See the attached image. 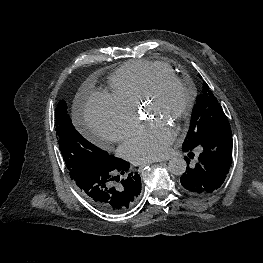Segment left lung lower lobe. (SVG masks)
<instances>
[{
    "label": "left lung lower lobe",
    "mask_w": 263,
    "mask_h": 263,
    "mask_svg": "<svg viewBox=\"0 0 263 263\" xmlns=\"http://www.w3.org/2000/svg\"><path fill=\"white\" fill-rule=\"evenodd\" d=\"M232 132L230 126L217 127L193 147H182L189 152L198 147L202 150L194 167L187 162V171L181 176V185L193 194L206 195L217 190L224 182L232 162Z\"/></svg>",
    "instance_id": "1"
}]
</instances>
